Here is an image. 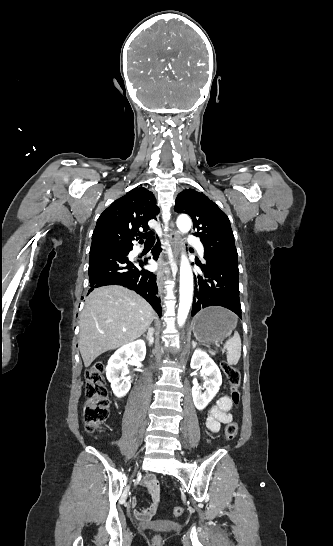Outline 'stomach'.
<instances>
[{"mask_svg": "<svg viewBox=\"0 0 333 546\" xmlns=\"http://www.w3.org/2000/svg\"><path fill=\"white\" fill-rule=\"evenodd\" d=\"M237 322L234 314L221 307H208L193 319V333L203 344L222 342L231 335Z\"/></svg>", "mask_w": 333, "mask_h": 546, "instance_id": "0dacf381", "label": "stomach"}]
</instances>
